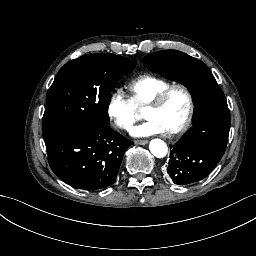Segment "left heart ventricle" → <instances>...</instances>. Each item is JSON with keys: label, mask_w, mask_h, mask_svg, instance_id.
<instances>
[{"label": "left heart ventricle", "mask_w": 256, "mask_h": 256, "mask_svg": "<svg viewBox=\"0 0 256 256\" xmlns=\"http://www.w3.org/2000/svg\"><path fill=\"white\" fill-rule=\"evenodd\" d=\"M186 110L185 96L179 90L174 89L164 105L159 109L149 111V114L164 119L171 129L185 115Z\"/></svg>", "instance_id": "obj_1"}]
</instances>
